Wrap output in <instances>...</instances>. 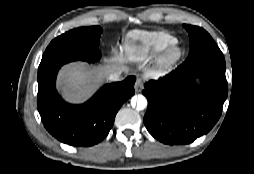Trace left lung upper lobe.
<instances>
[{"label":"left lung upper lobe","mask_w":254,"mask_h":174,"mask_svg":"<svg viewBox=\"0 0 254 174\" xmlns=\"http://www.w3.org/2000/svg\"><path fill=\"white\" fill-rule=\"evenodd\" d=\"M189 33L190 51L184 61L185 66L211 63L225 66V59L212 37L203 28L183 25Z\"/></svg>","instance_id":"1"}]
</instances>
